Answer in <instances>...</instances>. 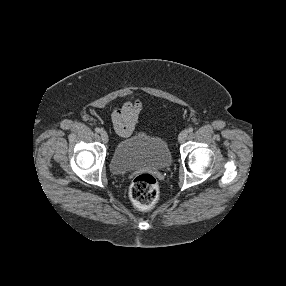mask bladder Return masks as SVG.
<instances>
[{
    "label": "bladder",
    "instance_id": "31cf9c89",
    "mask_svg": "<svg viewBox=\"0 0 286 286\" xmlns=\"http://www.w3.org/2000/svg\"><path fill=\"white\" fill-rule=\"evenodd\" d=\"M173 158L166 140L140 130L120 140L111 156V170L116 174L149 167L165 170L172 164Z\"/></svg>",
    "mask_w": 286,
    "mask_h": 286
}]
</instances>
